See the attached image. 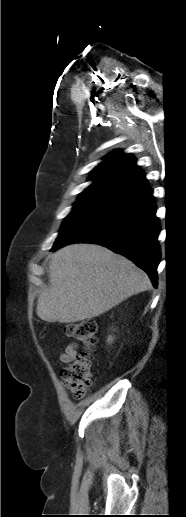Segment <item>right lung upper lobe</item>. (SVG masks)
<instances>
[{
	"label": "right lung upper lobe",
	"instance_id": "1",
	"mask_svg": "<svg viewBox=\"0 0 186 517\" xmlns=\"http://www.w3.org/2000/svg\"><path fill=\"white\" fill-rule=\"evenodd\" d=\"M129 154L115 151L93 169L89 180L94 182L79 198L118 202L148 187L144 172Z\"/></svg>",
	"mask_w": 186,
	"mask_h": 517
}]
</instances>
